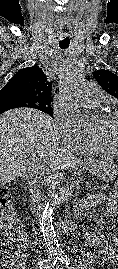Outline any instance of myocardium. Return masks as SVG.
Returning <instances> with one entry per match:
<instances>
[{"mask_svg": "<svg viewBox=\"0 0 118 269\" xmlns=\"http://www.w3.org/2000/svg\"><path fill=\"white\" fill-rule=\"evenodd\" d=\"M117 117L118 109L109 110L100 116V118L107 124L111 123ZM95 137L105 142L118 154V141L113 140L108 134L97 133Z\"/></svg>", "mask_w": 118, "mask_h": 269, "instance_id": "f54148a6", "label": "myocardium"}]
</instances>
